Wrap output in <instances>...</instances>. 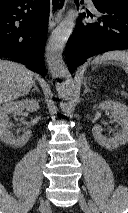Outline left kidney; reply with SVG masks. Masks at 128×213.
Wrapping results in <instances>:
<instances>
[{
	"mask_svg": "<svg viewBox=\"0 0 128 213\" xmlns=\"http://www.w3.org/2000/svg\"><path fill=\"white\" fill-rule=\"evenodd\" d=\"M109 110L114 119L121 125V131L108 138L102 134V127L95 125L92 128L94 139L108 150H114L128 142V107L119 102L104 101L95 105L94 109Z\"/></svg>",
	"mask_w": 128,
	"mask_h": 213,
	"instance_id": "obj_1",
	"label": "left kidney"
}]
</instances>
